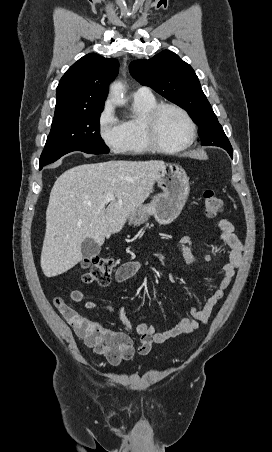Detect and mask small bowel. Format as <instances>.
Instances as JSON below:
<instances>
[{"label": "small bowel", "instance_id": "c3829d8e", "mask_svg": "<svg viewBox=\"0 0 272 452\" xmlns=\"http://www.w3.org/2000/svg\"><path fill=\"white\" fill-rule=\"evenodd\" d=\"M220 240L227 247V260L222 267V277L220 282L212 293V295L205 301L200 309L192 308L191 316L185 317L175 323L169 330L163 332H156L152 325L147 323H139L135 326L134 332L140 337L141 345L138 352L146 354L153 345L164 343L165 341L177 337L181 334H188L195 331L199 324L207 323L213 313L215 306L224 297L225 291L232 283L236 271L242 265L243 245L237 235L234 233L233 225L226 219L219 222ZM179 246L185 261L190 265H197L198 260L193 255L192 249L194 242L188 235H183L179 239ZM142 268L140 261H128L121 264L115 273V280L118 283H123L136 275ZM71 299L80 303L84 299L83 292L75 289L71 292ZM84 308L87 310H94L99 308V305L94 301H85ZM103 309L114 313L118 316L123 324L126 332L118 331L112 328L103 326L98 321H93L90 318L80 315L76 310L71 308L70 312L62 313L74 330L75 334L81 338L86 344L94 347L98 352H101L97 347L99 340L103 336H112L123 349L128 352V358L133 354V344L130 336L131 324L130 320L122 306L107 304L102 306Z\"/></svg>", "mask_w": 272, "mask_h": 452}]
</instances>
